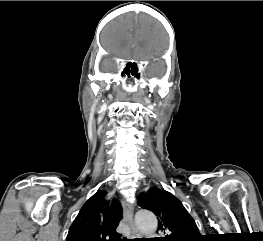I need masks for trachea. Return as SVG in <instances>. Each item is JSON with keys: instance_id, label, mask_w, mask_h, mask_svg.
I'll return each mask as SVG.
<instances>
[{"instance_id": "trachea-1", "label": "trachea", "mask_w": 263, "mask_h": 241, "mask_svg": "<svg viewBox=\"0 0 263 241\" xmlns=\"http://www.w3.org/2000/svg\"><path fill=\"white\" fill-rule=\"evenodd\" d=\"M122 241H139L138 239H122Z\"/></svg>"}]
</instances>
